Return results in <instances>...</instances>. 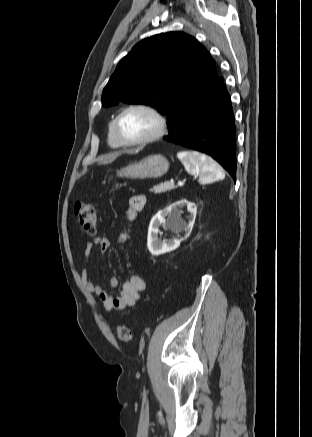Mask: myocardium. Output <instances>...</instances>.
<instances>
[{
    "mask_svg": "<svg viewBox=\"0 0 312 437\" xmlns=\"http://www.w3.org/2000/svg\"><path fill=\"white\" fill-rule=\"evenodd\" d=\"M131 110H144L150 113L157 122L156 130L151 135L142 139H138V140L127 139L121 131L120 123L123 116ZM114 129L122 144L126 146H139V145H146L152 143L158 140L159 138H161L167 129V122L163 114L154 106L145 103H136V104L128 105L118 113V115L114 120Z\"/></svg>",
    "mask_w": 312,
    "mask_h": 437,
    "instance_id": "1",
    "label": "myocardium"
}]
</instances>
